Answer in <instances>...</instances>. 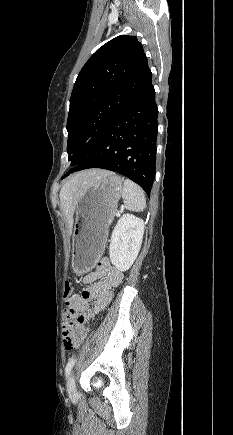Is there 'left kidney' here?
<instances>
[{
  "mask_svg": "<svg viewBox=\"0 0 233 435\" xmlns=\"http://www.w3.org/2000/svg\"><path fill=\"white\" fill-rule=\"evenodd\" d=\"M144 221L132 214H124L117 222L111 236L109 255L112 264L120 271H127L141 248Z\"/></svg>",
  "mask_w": 233,
  "mask_h": 435,
  "instance_id": "left-kidney-1",
  "label": "left kidney"
}]
</instances>
